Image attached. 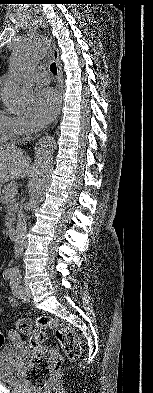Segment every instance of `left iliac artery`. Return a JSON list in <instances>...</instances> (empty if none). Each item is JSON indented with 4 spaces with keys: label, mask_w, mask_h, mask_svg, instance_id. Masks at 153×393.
<instances>
[{
    "label": "left iliac artery",
    "mask_w": 153,
    "mask_h": 393,
    "mask_svg": "<svg viewBox=\"0 0 153 393\" xmlns=\"http://www.w3.org/2000/svg\"><path fill=\"white\" fill-rule=\"evenodd\" d=\"M10 285L12 288V292L15 296H18L20 292V277L19 276H12L10 277Z\"/></svg>",
    "instance_id": "44dca946"
}]
</instances>
